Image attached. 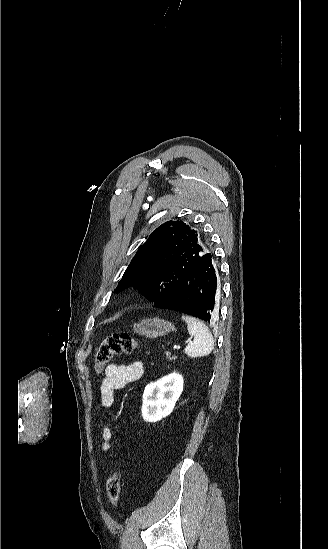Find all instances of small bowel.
<instances>
[{"mask_svg":"<svg viewBox=\"0 0 328 549\" xmlns=\"http://www.w3.org/2000/svg\"><path fill=\"white\" fill-rule=\"evenodd\" d=\"M144 372L142 362L129 364L112 363L105 368L104 379L100 386L101 403L104 408H110L114 402V392L124 389L128 384L139 380ZM102 452L107 453L111 444L112 431L108 425L102 430Z\"/></svg>","mask_w":328,"mask_h":549,"instance_id":"1","label":"small bowel"}]
</instances>
